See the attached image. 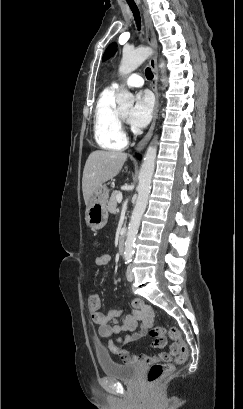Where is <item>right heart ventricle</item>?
<instances>
[{
  "label": "right heart ventricle",
  "instance_id": "obj_1",
  "mask_svg": "<svg viewBox=\"0 0 243 409\" xmlns=\"http://www.w3.org/2000/svg\"><path fill=\"white\" fill-rule=\"evenodd\" d=\"M115 95L116 89L106 88L98 98L94 113L95 140L100 147L108 150H121L127 144L117 116Z\"/></svg>",
  "mask_w": 243,
  "mask_h": 409
}]
</instances>
